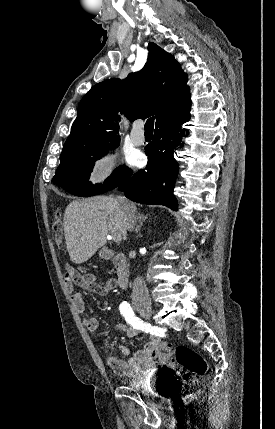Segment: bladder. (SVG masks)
Masks as SVG:
<instances>
[{
    "instance_id": "bladder-1",
    "label": "bladder",
    "mask_w": 275,
    "mask_h": 429,
    "mask_svg": "<svg viewBox=\"0 0 275 429\" xmlns=\"http://www.w3.org/2000/svg\"><path fill=\"white\" fill-rule=\"evenodd\" d=\"M141 398H156L158 403H169L179 397L175 377H146L129 383Z\"/></svg>"
}]
</instances>
